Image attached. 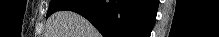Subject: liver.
Masks as SVG:
<instances>
[{
  "label": "liver",
  "instance_id": "liver-1",
  "mask_svg": "<svg viewBox=\"0 0 219 37\" xmlns=\"http://www.w3.org/2000/svg\"><path fill=\"white\" fill-rule=\"evenodd\" d=\"M48 37H97L96 29L81 15L64 10L53 14L47 22Z\"/></svg>",
  "mask_w": 219,
  "mask_h": 37
}]
</instances>
